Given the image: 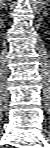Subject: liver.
I'll list each match as a JSON object with an SVG mask.
<instances>
[{"instance_id":"obj_1","label":"liver","mask_w":50,"mask_h":148,"mask_svg":"<svg viewBox=\"0 0 50 148\" xmlns=\"http://www.w3.org/2000/svg\"><path fill=\"white\" fill-rule=\"evenodd\" d=\"M4 2V0H1V3H3Z\"/></svg>"}]
</instances>
